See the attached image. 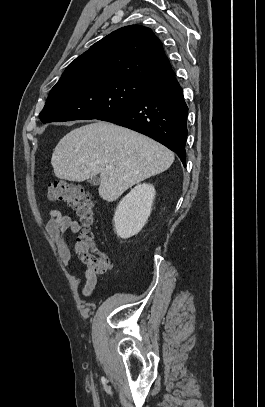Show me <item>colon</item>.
Wrapping results in <instances>:
<instances>
[{
    "label": "colon",
    "instance_id": "obj_1",
    "mask_svg": "<svg viewBox=\"0 0 265 407\" xmlns=\"http://www.w3.org/2000/svg\"><path fill=\"white\" fill-rule=\"evenodd\" d=\"M47 198L54 202H63L74 209L80 216L84 226L89 227L95 219V201L92 195L82 187L62 181L48 185ZM76 254L92 271H104L110 261L106 254L96 247L90 231L84 232L76 242Z\"/></svg>",
    "mask_w": 265,
    "mask_h": 407
}]
</instances>
